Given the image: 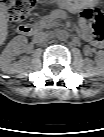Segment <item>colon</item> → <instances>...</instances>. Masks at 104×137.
Instances as JSON below:
<instances>
[{
	"instance_id": "colon-1",
	"label": "colon",
	"mask_w": 104,
	"mask_h": 137,
	"mask_svg": "<svg viewBox=\"0 0 104 137\" xmlns=\"http://www.w3.org/2000/svg\"><path fill=\"white\" fill-rule=\"evenodd\" d=\"M35 5V0H2V8L13 22L25 21ZM82 21L91 28L93 45L102 46L104 41V15L96 8L84 9L81 13Z\"/></svg>"
}]
</instances>
